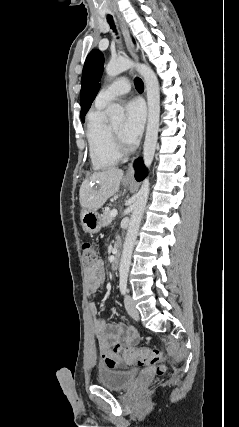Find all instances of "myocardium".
I'll list each match as a JSON object with an SVG mask.
<instances>
[{
	"instance_id": "myocardium-1",
	"label": "myocardium",
	"mask_w": 239,
	"mask_h": 427,
	"mask_svg": "<svg viewBox=\"0 0 239 427\" xmlns=\"http://www.w3.org/2000/svg\"><path fill=\"white\" fill-rule=\"evenodd\" d=\"M111 133H112L113 143L117 153L120 156L128 154L131 149L123 143L121 137L117 134V132L112 127H111Z\"/></svg>"
}]
</instances>
